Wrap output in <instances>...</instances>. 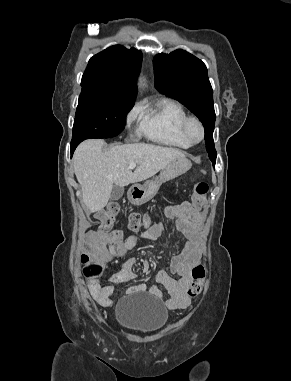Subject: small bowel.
<instances>
[{
    "label": "small bowel",
    "mask_w": 291,
    "mask_h": 381,
    "mask_svg": "<svg viewBox=\"0 0 291 381\" xmlns=\"http://www.w3.org/2000/svg\"><path fill=\"white\" fill-rule=\"evenodd\" d=\"M163 215L170 220L176 221L177 229L183 233L186 242L181 252L176 255L170 265V271L176 274L179 279L172 278L166 270L159 271L155 277L156 285L150 287L149 291L158 299L163 298V294L158 285L164 287L168 292L169 298L165 301L170 310L186 308L191 303L187 296V290L192 282V269L201 261L202 250L200 247V237L196 229V221L199 219L200 211L192 207L188 202L179 205H168L162 209ZM166 231L164 221H158L140 236H129L124 238L121 230H114L110 233H101L98 230L89 231L85 235V250L94 248L99 242L103 246L109 247L107 257H124L134 249L141 241H157ZM135 258L129 257L123 263L119 271L109 277V285L103 286L100 278L93 277L88 279L89 291L96 302L102 306L112 304V294L115 286L123 282L135 280L133 267ZM145 284L132 286L130 292L146 290Z\"/></svg>",
    "instance_id": "c3829d8e"
}]
</instances>
